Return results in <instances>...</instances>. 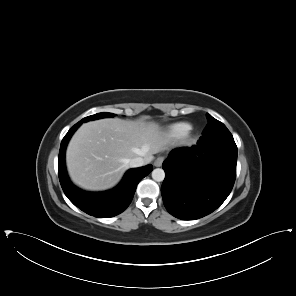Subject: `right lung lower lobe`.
<instances>
[{"mask_svg":"<svg viewBox=\"0 0 296 296\" xmlns=\"http://www.w3.org/2000/svg\"><path fill=\"white\" fill-rule=\"evenodd\" d=\"M81 123L75 124L61 142L58 175L68 199L85 213L98 218H109L122 213L132 201L137 184L152 171V166L130 169L115 188L105 192H85L74 186L65 169V149L69 139Z\"/></svg>","mask_w":296,"mask_h":296,"instance_id":"obj_1","label":"right lung lower lobe"}]
</instances>
